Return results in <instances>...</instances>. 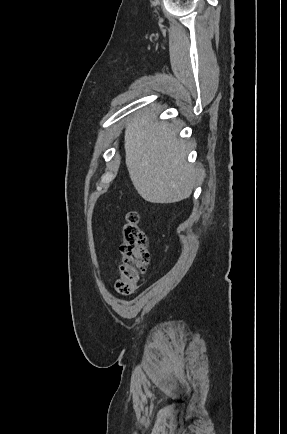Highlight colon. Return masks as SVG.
<instances>
[{"label": "colon", "mask_w": 287, "mask_h": 434, "mask_svg": "<svg viewBox=\"0 0 287 434\" xmlns=\"http://www.w3.org/2000/svg\"><path fill=\"white\" fill-rule=\"evenodd\" d=\"M120 250L122 264L118 272L116 289L123 295H130L137 290L150 261L148 238L135 211L127 214Z\"/></svg>", "instance_id": "obj_1"}]
</instances>
